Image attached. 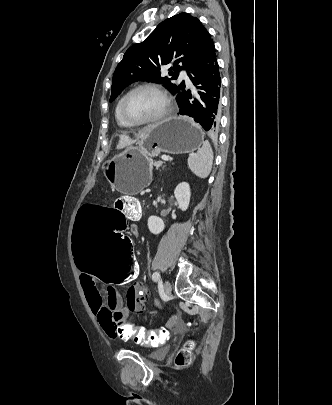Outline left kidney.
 I'll use <instances>...</instances> for the list:
<instances>
[{"instance_id":"obj_1","label":"left kidney","mask_w":332,"mask_h":405,"mask_svg":"<svg viewBox=\"0 0 332 405\" xmlns=\"http://www.w3.org/2000/svg\"><path fill=\"white\" fill-rule=\"evenodd\" d=\"M174 195L177 200V204L182 211H186L188 209L190 203V186L187 182H182L178 184V186L174 190ZM148 228L152 234H159L161 233L164 228V222L157 216H150L148 218Z\"/></svg>"}]
</instances>
